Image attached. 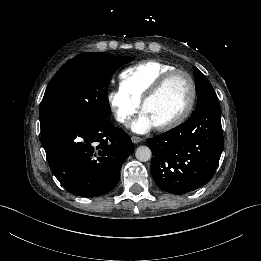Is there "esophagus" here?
I'll return each instance as SVG.
<instances>
[{"mask_svg": "<svg viewBox=\"0 0 261 261\" xmlns=\"http://www.w3.org/2000/svg\"><path fill=\"white\" fill-rule=\"evenodd\" d=\"M131 140L133 143H139L141 142L143 139L141 137H138V136H132L131 137Z\"/></svg>", "mask_w": 261, "mask_h": 261, "instance_id": "esophagus-1", "label": "esophagus"}]
</instances>
